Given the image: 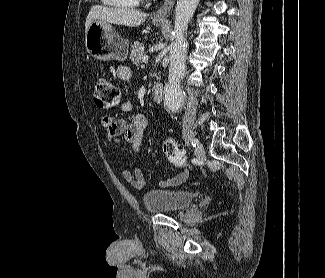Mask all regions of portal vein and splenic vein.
I'll return each instance as SVG.
<instances>
[{
	"instance_id": "18ae733b",
	"label": "portal vein and splenic vein",
	"mask_w": 325,
	"mask_h": 278,
	"mask_svg": "<svg viewBox=\"0 0 325 278\" xmlns=\"http://www.w3.org/2000/svg\"><path fill=\"white\" fill-rule=\"evenodd\" d=\"M142 61H143V62L148 61V56H147V55H144V56L142 57Z\"/></svg>"
}]
</instances>
